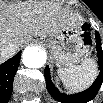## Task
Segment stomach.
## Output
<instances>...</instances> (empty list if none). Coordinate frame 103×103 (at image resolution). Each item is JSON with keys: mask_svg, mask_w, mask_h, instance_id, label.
<instances>
[{"mask_svg": "<svg viewBox=\"0 0 103 103\" xmlns=\"http://www.w3.org/2000/svg\"><path fill=\"white\" fill-rule=\"evenodd\" d=\"M82 23L64 26L47 38L48 47L57 66H72L88 53L84 44Z\"/></svg>", "mask_w": 103, "mask_h": 103, "instance_id": "1", "label": "stomach"}]
</instances>
